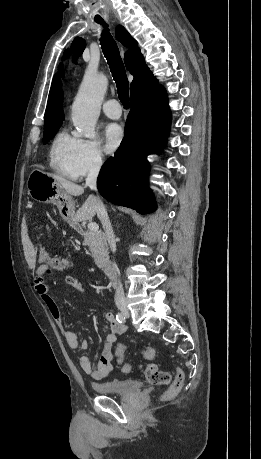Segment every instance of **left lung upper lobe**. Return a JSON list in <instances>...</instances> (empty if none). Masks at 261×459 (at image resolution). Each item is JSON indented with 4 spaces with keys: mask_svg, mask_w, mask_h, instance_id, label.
<instances>
[{
    "mask_svg": "<svg viewBox=\"0 0 261 459\" xmlns=\"http://www.w3.org/2000/svg\"><path fill=\"white\" fill-rule=\"evenodd\" d=\"M81 44L82 43H81V39L80 38H76L72 42L71 51L74 54L73 59H77V57L82 53L83 50L81 49ZM65 55L66 56L69 55V50H66ZM62 73H63V70H62Z\"/></svg>",
    "mask_w": 261,
    "mask_h": 459,
    "instance_id": "5c2ea615",
    "label": "left lung upper lobe"
}]
</instances>
